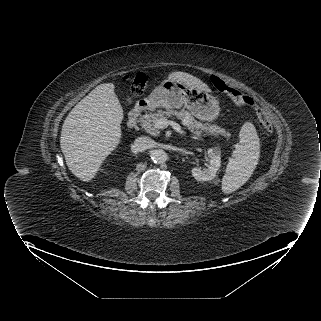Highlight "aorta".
<instances>
[{"label":"aorta","mask_w":321,"mask_h":321,"mask_svg":"<svg viewBox=\"0 0 321 321\" xmlns=\"http://www.w3.org/2000/svg\"><path fill=\"white\" fill-rule=\"evenodd\" d=\"M151 159L154 163H163L167 160V153L162 149H155L151 153Z\"/></svg>","instance_id":"aorta-1"}]
</instances>
